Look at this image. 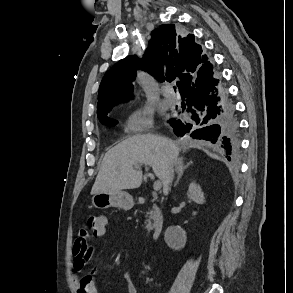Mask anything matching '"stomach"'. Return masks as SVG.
I'll use <instances>...</instances> for the list:
<instances>
[{
  "instance_id": "0dacf381",
  "label": "stomach",
  "mask_w": 293,
  "mask_h": 293,
  "mask_svg": "<svg viewBox=\"0 0 293 293\" xmlns=\"http://www.w3.org/2000/svg\"><path fill=\"white\" fill-rule=\"evenodd\" d=\"M92 204L98 209L116 207L123 210H130L134 206L132 196L125 191H119L114 194L96 193L92 197Z\"/></svg>"
}]
</instances>
